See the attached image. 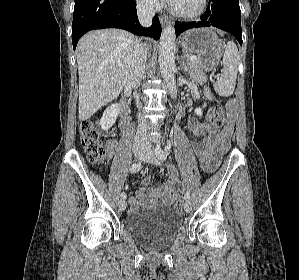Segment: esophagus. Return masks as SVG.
<instances>
[{
	"instance_id": "34e87169",
	"label": "esophagus",
	"mask_w": 299,
	"mask_h": 280,
	"mask_svg": "<svg viewBox=\"0 0 299 280\" xmlns=\"http://www.w3.org/2000/svg\"><path fill=\"white\" fill-rule=\"evenodd\" d=\"M160 22H161V25H162L163 27H165V26H167V25L170 24V20H169V18L166 17V16H160Z\"/></svg>"
}]
</instances>
